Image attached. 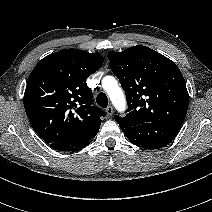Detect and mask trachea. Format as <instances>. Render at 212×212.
<instances>
[{"instance_id": "3493384b", "label": "trachea", "mask_w": 212, "mask_h": 212, "mask_svg": "<svg viewBox=\"0 0 212 212\" xmlns=\"http://www.w3.org/2000/svg\"><path fill=\"white\" fill-rule=\"evenodd\" d=\"M96 102L100 107L106 108L108 105V98H107L106 94L102 93V92L99 93L97 95Z\"/></svg>"}]
</instances>
